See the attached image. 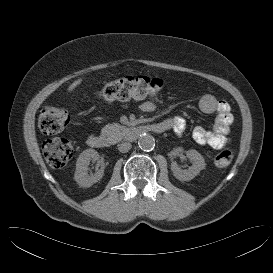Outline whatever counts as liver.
<instances>
[{
	"instance_id": "1",
	"label": "liver",
	"mask_w": 273,
	"mask_h": 273,
	"mask_svg": "<svg viewBox=\"0 0 273 273\" xmlns=\"http://www.w3.org/2000/svg\"><path fill=\"white\" fill-rule=\"evenodd\" d=\"M82 82V78L74 81L69 87H68V91H72L73 89H75L80 83Z\"/></svg>"
}]
</instances>
